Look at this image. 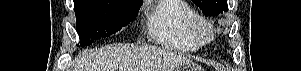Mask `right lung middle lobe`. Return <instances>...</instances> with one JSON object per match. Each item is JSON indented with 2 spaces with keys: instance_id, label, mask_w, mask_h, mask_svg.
<instances>
[{
  "instance_id": "1",
  "label": "right lung middle lobe",
  "mask_w": 301,
  "mask_h": 71,
  "mask_svg": "<svg viewBox=\"0 0 301 71\" xmlns=\"http://www.w3.org/2000/svg\"><path fill=\"white\" fill-rule=\"evenodd\" d=\"M143 0H74L77 33L86 46L110 36L129 24Z\"/></svg>"
}]
</instances>
